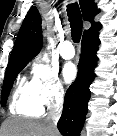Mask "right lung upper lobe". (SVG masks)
I'll use <instances>...</instances> for the list:
<instances>
[{"label": "right lung upper lobe", "mask_w": 117, "mask_h": 136, "mask_svg": "<svg viewBox=\"0 0 117 136\" xmlns=\"http://www.w3.org/2000/svg\"><path fill=\"white\" fill-rule=\"evenodd\" d=\"M93 2L94 0H79L83 19L91 23L83 35L101 29V24L94 21L100 10ZM42 45L41 16L37 8L32 6L19 30L8 65L15 61L31 60L40 52Z\"/></svg>", "instance_id": "1"}]
</instances>
